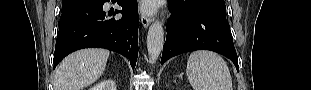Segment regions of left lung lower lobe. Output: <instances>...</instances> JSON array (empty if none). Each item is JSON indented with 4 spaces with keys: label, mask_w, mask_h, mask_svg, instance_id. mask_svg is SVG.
I'll return each instance as SVG.
<instances>
[{
    "label": "left lung lower lobe",
    "mask_w": 311,
    "mask_h": 90,
    "mask_svg": "<svg viewBox=\"0 0 311 90\" xmlns=\"http://www.w3.org/2000/svg\"><path fill=\"white\" fill-rule=\"evenodd\" d=\"M173 22L167 29L161 64L173 56L194 51L211 50L229 58L238 69V57L229 23L206 13H187L169 5Z\"/></svg>",
    "instance_id": "left-lung-lower-lobe-1"
}]
</instances>
